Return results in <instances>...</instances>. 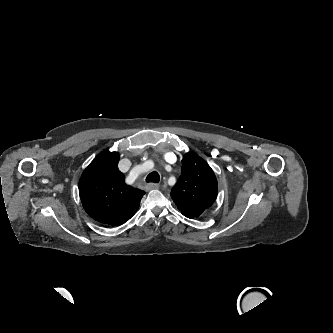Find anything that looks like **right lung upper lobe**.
Masks as SVG:
<instances>
[{
	"mask_svg": "<svg viewBox=\"0 0 333 333\" xmlns=\"http://www.w3.org/2000/svg\"><path fill=\"white\" fill-rule=\"evenodd\" d=\"M119 154L104 150L84 170L79 195L87 214L113 226L124 224L137 212L144 191L124 181L118 169Z\"/></svg>",
	"mask_w": 333,
	"mask_h": 333,
	"instance_id": "obj_1",
	"label": "right lung upper lobe"
}]
</instances>
